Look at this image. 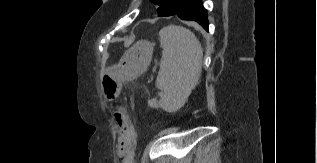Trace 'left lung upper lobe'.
Instances as JSON below:
<instances>
[{
  "label": "left lung upper lobe",
  "mask_w": 317,
  "mask_h": 163,
  "mask_svg": "<svg viewBox=\"0 0 317 163\" xmlns=\"http://www.w3.org/2000/svg\"><path fill=\"white\" fill-rule=\"evenodd\" d=\"M154 4L159 5L157 9L159 16H170L177 11L184 0H151Z\"/></svg>",
  "instance_id": "obj_1"
}]
</instances>
